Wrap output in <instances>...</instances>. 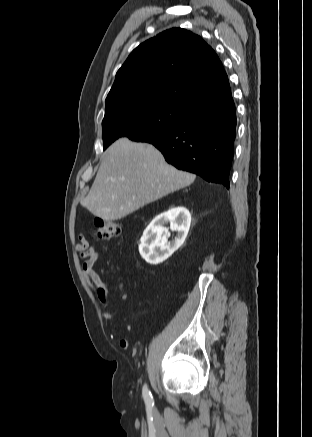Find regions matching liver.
I'll list each match as a JSON object with an SVG mask.
<instances>
[{
  "label": "liver",
  "mask_w": 312,
  "mask_h": 437,
  "mask_svg": "<svg viewBox=\"0 0 312 437\" xmlns=\"http://www.w3.org/2000/svg\"><path fill=\"white\" fill-rule=\"evenodd\" d=\"M195 178L169 165L153 145L120 138L104 153L81 204L94 216L118 220L189 186Z\"/></svg>",
  "instance_id": "liver-1"
}]
</instances>
